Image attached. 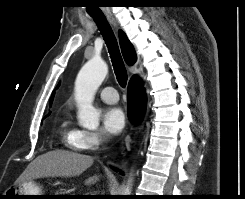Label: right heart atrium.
Wrapping results in <instances>:
<instances>
[{"mask_svg":"<svg viewBox=\"0 0 245 199\" xmlns=\"http://www.w3.org/2000/svg\"><path fill=\"white\" fill-rule=\"evenodd\" d=\"M107 141V135L102 130L80 131V145L84 150H94Z\"/></svg>","mask_w":245,"mask_h":199,"instance_id":"1","label":"right heart atrium"}]
</instances>
